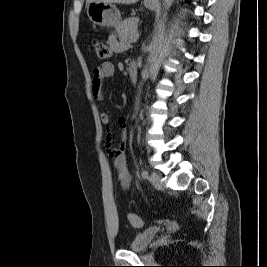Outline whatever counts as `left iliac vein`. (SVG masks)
I'll return each mask as SVG.
<instances>
[{"label":"left iliac vein","mask_w":267,"mask_h":267,"mask_svg":"<svg viewBox=\"0 0 267 267\" xmlns=\"http://www.w3.org/2000/svg\"><path fill=\"white\" fill-rule=\"evenodd\" d=\"M150 182L152 183V185L155 187V188H161L162 187V182H161V178L160 176L153 172L151 173L150 175Z\"/></svg>","instance_id":"4c4485c4"}]
</instances>
